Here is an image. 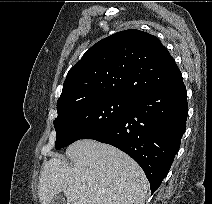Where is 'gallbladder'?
<instances>
[{
	"mask_svg": "<svg viewBox=\"0 0 212 204\" xmlns=\"http://www.w3.org/2000/svg\"><path fill=\"white\" fill-rule=\"evenodd\" d=\"M51 204H66L65 198L62 195H55Z\"/></svg>",
	"mask_w": 212,
	"mask_h": 204,
	"instance_id": "bac80fb5",
	"label": "gallbladder"
}]
</instances>
